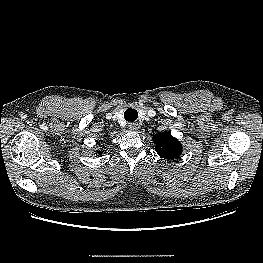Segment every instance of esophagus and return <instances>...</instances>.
<instances>
[{
	"label": "esophagus",
	"mask_w": 263,
	"mask_h": 263,
	"mask_svg": "<svg viewBox=\"0 0 263 263\" xmlns=\"http://www.w3.org/2000/svg\"><path fill=\"white\" fill-rule=\"evenodd\" d=\"M128 127H129V129L136 131L138 129V124L135 122H130Z\"/></svg>",
	"instance_id": "34e87169"
}]
</instances>
